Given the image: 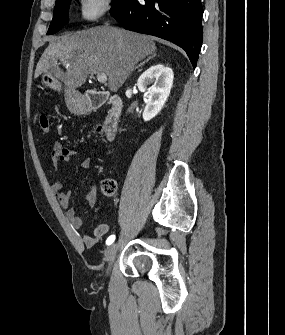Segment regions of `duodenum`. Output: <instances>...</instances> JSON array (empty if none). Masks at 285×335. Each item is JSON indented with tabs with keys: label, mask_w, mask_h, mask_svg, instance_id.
<instances>
[{
	"label": "duodenum",
	"mask_w": 285,
	"mask_h": 335,
	"mask_svg": "<svg viewBox=\"0 0 285 335\" xmlns=\"http://www.w3.org/2000/svg\"><path fill=\"white\" fill-rule=\"evenodd\" d=\"M107 102L109 107L103 122V130L106 138L112 140L117 134L121 119L123 109L121 98L118 95L109 96V94L104 91L91 90L85 95L80 105L83 112H90Z\"/></svg>",
	"instance_id": "obj_1"
}]
</instances>
